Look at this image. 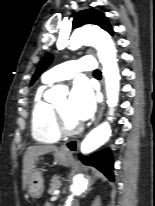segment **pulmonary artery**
<instances>
[{
  "instance_id": "obj_1",
  "label": "pulmonary artery",
  "mask_w": 155,
  "mask_h": 206,
  "mask_svg": "<svg viewBox=\"0 0 155 206\" xmlns=\"http://www.w3.org/2000/svg\"><path fill=\"white\" fill-rule=\"evenodd\" d=\"M95 69L96 63L93 57H82L51 68L44 74L43 80L51 84L71 79L77 72L93 71Z\"/></svg>"
}]
</instances>
